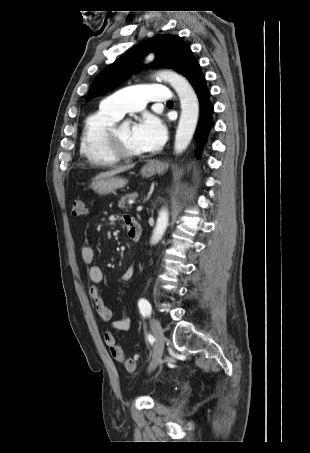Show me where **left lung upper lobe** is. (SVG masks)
Returning a JSON list of instances; mask_svg holds the SVG:
<instances>
[{
    "label": "left lung upper lobe",
    "mask_w": 310,
    "mask_h": 453,
    "mask_svg": "<svg viewBox=\"0 0 310 453\" xmlns=\"http://www.w3.org/2000/svg\"><path fill=\"white\" fill-rule=\"evenodd\" d=\"M149 52L155 53L153 65L167 67L181 73L192 55L188 45L177 36H156L129 52L101 71L91 84L87 100L107 92L140 68L141 59Z\"/></svg>",
    "instance_id": "obj_1"
}]
</instances>
